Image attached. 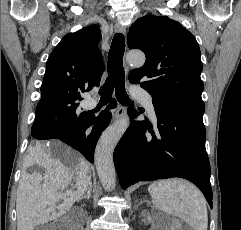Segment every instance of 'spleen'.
Returning <instances> with one entry per match:
<instances>
[{"mask_svg":"<svg viewBox=\"0 0 241 230\" xmlns=\"http://www.w3.org/2000/svg\"><path fill=\"white\" fill-rule=\"evenodd\" d=\"M148 190L157 209L181 218L194 230H207L205 198L191 183L180 179L160 180L152 183Z\"/></svg>","mask_w":241,"mask_h":230,"instance_id":"obj_1","label":"spleen"}]
</instances>
